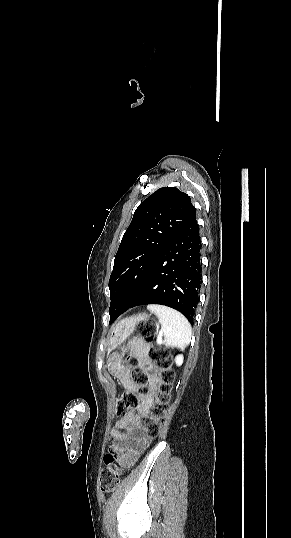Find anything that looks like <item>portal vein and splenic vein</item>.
<instances>
[{"instance_id": "obj_1", "label": "portal vein and splenic vein", "mask_w": 291, "mask_h": 538, "mask_svg": "<svg viewBox=\"0 0 291 538\" xmlns=\"http://www.w3.org/2000/svg\"><path fill=\"white\" fill-rule=\"evenodd\" d=\"M156 342H157L158 344H161V343H162V338H161L160 336L157 337Z\"/></svg>"}]
</instances>
